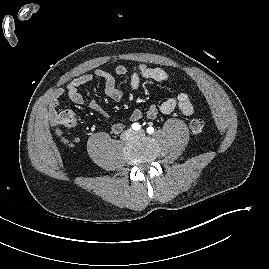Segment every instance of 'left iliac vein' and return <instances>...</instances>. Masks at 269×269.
I'll use <instances>...</instances> for the list:
<instances>
[{
	"instance_id": "1",
	"label": "left iliac vein",
	"mask_w": 269,
	"mask_h": 269,
	"mask_svg": "<svg viewBox=\"0 0 269 269\" xmlns=\"http://www.w3.org/2000/svg\"><path fill=\"white\" fill-rule=\"evenodd\" d=\"M144 134H145L144 131H143V130H140V131L136 132L134 135H135V136H139V137H141V136H143Z\"/></svg>"
}]
</instances>
